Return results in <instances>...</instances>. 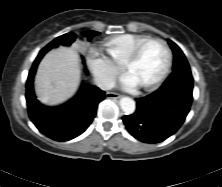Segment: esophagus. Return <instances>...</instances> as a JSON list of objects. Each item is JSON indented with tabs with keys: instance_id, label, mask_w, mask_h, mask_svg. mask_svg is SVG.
Returning <instances> with one entry per match:
<instances>
[{
	"instance_id": "obj_1",
	"label": "esophagus",
	"mask_w": 222,
	"mask_h": 187,
	"mask_svg": "<svg viewBox=\"0 0 222 187\" xmlns=\"http://www.w3.org/2000/svg\"><path fill=\"white\" fill-rule=\"evenodd\" d=\"M106 97L110 98V99H120L121 95H119L117 93L108 92V93H106Z\"/></svg>"
}]
</instances>
